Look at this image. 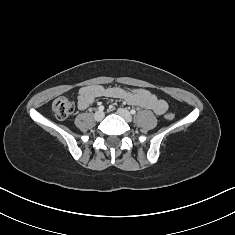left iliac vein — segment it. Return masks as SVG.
Instances as JSON below:
<instances>
[{
  "instance_id": "4c4485c4",
  "label": "left iliac vein",
  "mask_w": 235,
  "mask_h": 235,
  "mask_svg": "<svg viewBox=\"0 0 235 235\" xmlns=\"http://www.w3.org/2000/svg\"><path fill=\"white\" fill-rule=\"evenodd\" d=\"M117 113L124 118L127 122H131L132 121V116L130 114V112L127 109L124 108H119L117 110Z\"/></svg>"
}]
</instances>
